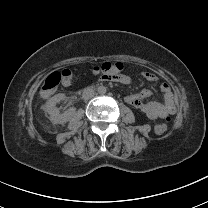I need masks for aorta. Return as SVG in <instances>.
I'll list each match as a JSON object with an SVG mask.
<instances>
[{
  "label": "aorta",
  "mask_w": 208,
  "mask_h": 208,
  "mask_svg": "<svg viewBox=\"0 0 208 208\" xmlns=\"http://www.w3.org/2000/svg\"><path fill=\"white\" fill-rule=\"evenodd\" d=\"M97 92H98L99 95L104 96V95L107 94L108 89H107L106 86L101 85V86L98 87Z\"/></svg>",
  "instance_id": "obj_1"
}]
</instances>
